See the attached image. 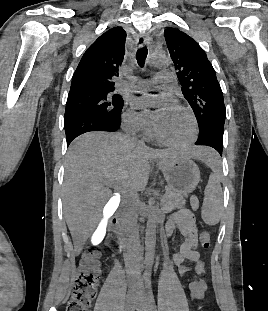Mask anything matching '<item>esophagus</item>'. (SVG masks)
I'll use <instances>...</instances> for the list:
<instances>
[{
    "instance_id": "34e87169",
    "label": "esophagus",
    "mask_w": 268,
    "mask_h": 311,
    "mask_svg": "<svg viewBox=\"0 0 268 311\" xmlns=\"http://www.w3.org/2000/svg\"><path fill=\"white\" fill-rule=\"evenodd\" d=\"M137 46L139 48L143 47L146 43L149 42L148 36L144 32H140L136 39Z\"/></svg>"
}]
</instances>
